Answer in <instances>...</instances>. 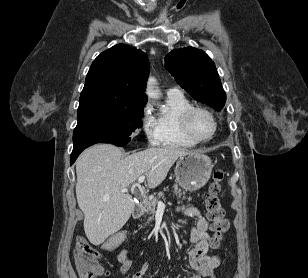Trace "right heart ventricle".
Listing matches in <instances>:
<instances>
[{
  "label": "right heart ventricle",
  "mask_w": 308,
  "mask_h": 278,
  "mask_svg": "<svg viewBox=\"0 0 308 278\" xmlns=\"http://www.w3.org/2000/svg\"><path fill=\"white\" fill-rule=\"evenodd\" d=\"M166 108L155 116L157 145L170 148H190L196 145L188 139L179 126L180 113L191 106L190 101L183 95H167Z\"/></svg>",
  "instance_id": "obj_1"
}]
</instances>
